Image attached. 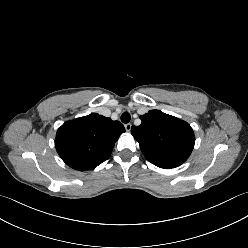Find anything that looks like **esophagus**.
<instances>
[{
    "label": "esophagus",
    "mask_w": 248,
    "mask_h": 248,
    "mask_svg": "<svg viewBox=\"0 0 248 248\" xmlns=\"http://www.w3.org/2000/svg\"><path fill=\"white\" fill-rule=\"evenodd\" d=\"M124 127H125L126 131L129 132L131 130L132 125L130 123H127L124 125Z\"/></svg>",
    "instance_id": "esophagus-1"
}]
</instances>
